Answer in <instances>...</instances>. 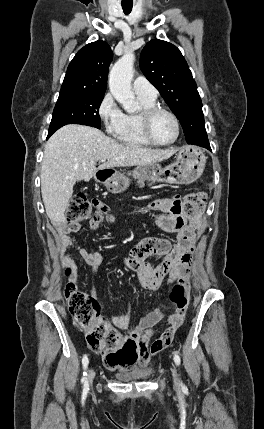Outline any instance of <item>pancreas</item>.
Instances as JSON below:
<instances>
[{
  "mask_svg": "<svg viewBox=\"0 0 264 429\" xmlns=\"http://www.w3.org/2000/svg\"><path fill=\"white\" fill-rule=\"evenodd\" d=\"M135 179H137V183H138V185H139L140 187H144V186H145V180H142V179H140V178H136V177H135ZM149 185H152V182H151V183H149Z\"/></svg>",
  "mask_w": 264,
  "mask_h": 429,
  "instance_id": "obj_1",
  "label": "pancreas"
}]
</instances>
